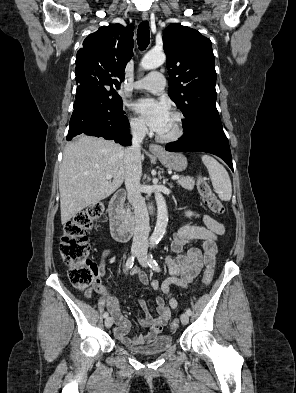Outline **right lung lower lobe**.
<instances>
[{
    "mask_svg": "<svg viewBox=\"0 0 296 393\" xmlns=\"http://www.w3.org/2000/svg\"><path fill=\"white\" fill-rule=\"evenodd\" d=\"M74 111L70 119L67 140L78 134L104 137L127 146L131 144L129 121L122 113H115L89 90L78 86Z\"/></svg>",
    "mask_w": 296,
    "mask_h": 393,
    "instance_id": "right-lung-lower-lobe-1",
    "label": "right lung lower lobe"
}]
</instances>
